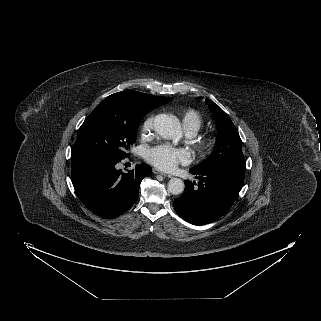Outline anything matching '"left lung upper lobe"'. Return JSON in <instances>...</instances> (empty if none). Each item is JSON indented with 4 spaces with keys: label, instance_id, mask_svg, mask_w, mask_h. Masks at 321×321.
Here are the masks:
<instances>
[{
    "label": "left lung upper lobe",
    "instance_id": "1",
    "mask_svg": "<svg viewBox=\"0 0 321 321\" xmlns=\"http://www.w3.org/2000/svg\"><path fill=\"white\" fill-rule=\"evenodd\" d=\"M206 103L216 122L218 135L213 152L193 170L205 169L226 162L245 161L242 141L230 117L211 100L206 99Z\"/></svg>",
    "mask_w": 321,
    "mask_h": 321
}]
</instances>
